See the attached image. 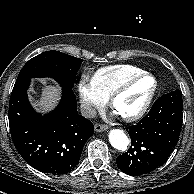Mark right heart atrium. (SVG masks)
<instances>
[{"label": "right heart atrium", "mask_w": 194, "mask_h": 194, "mask_svg": "<svg viewBox=\"0 0 194 194\" xmlns=\"http://www.w3.org/2000/svg\"><path fill=\"white\" fill-rule=\"evenodd\" d=\"M77 92L80 99L81 110L85 116H92L95 111L106 103L96 90L92 80L86 75L81 76L77 83Z\"/></svg>", "instance_id": "right-heart-atrium-1"}]
</instances>
